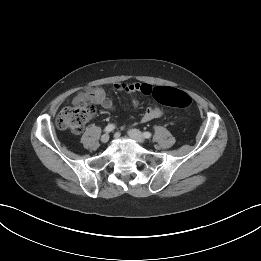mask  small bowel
<instances>
[{
	"label": "small bowel",
	"instance_id": "small-bowel-1",
	"mask_svg": "<svg viewBox=\"0 0 261 261\" xmlns=\"http://www.w3.org/2000/svg\"><path fill=\"white\" fill-rule=\"evenodd\" d=\"M115 89L121 92H126L130 94L142 93L145 95H150L153 91V86L148 83H117L115 84ZM74 103L81 102H96L102 105L103 108L113 111L115 106L111 98L107 95L105 90L101 87L89 88L84 91L79 92L73 99ZM139 102L137 99H133V106L137 108ZM163 111L157 106L148 107L141 117L142 122H148L150 120L161 117Z\"/></svg>",
	"mask_w": 261,
	"mask_h": 261
}]
</instances>
